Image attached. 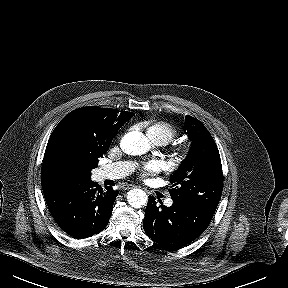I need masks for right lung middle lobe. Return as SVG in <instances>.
I'll return each mask as SVG.
<instances>
[{
    "label": "right lung middle lobe",
    "instance_id": "obj_1",
    "mask_svg": "<svg viewBox=\"0 0 288 288\" xmlns=\"http://www.w3.org/2000/svg\"><path fill=\"white\" fill-rule=\"evenodd\" d=\"M111 142H109L106 146L102 147L95 151L94 155L91 157L88 163V168L86 169V180L90 179V171L98 166V159L103 157V154L107 152L109 149ZM51 168L53 171L57 173H69L73 171L77 167V163L64 155H55L51 159Z\"/></svg>",
    "mask_w": 288,
    "mask_h": 288
}]
</instances>
